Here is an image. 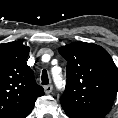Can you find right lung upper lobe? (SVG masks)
<instances>
[{
	"instance_id": "right-lung-upper-lobe-1",
	"label": "right lung upper lobe",
	"mask_w": 118,
	"mask_h": 118,
	"mask_svg": "<svg viewBox=\"0 0 118 118\" xmlns=\"http://www.w3.org/2000/svg\"><path fill=\"white\" fill-rule=\"evenodd\" d=\"M29 51L21 42L0 44V118H25L44 95L27 65Z\"/></svg>"
}]
</instances>
